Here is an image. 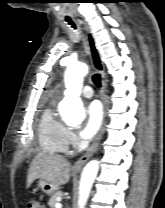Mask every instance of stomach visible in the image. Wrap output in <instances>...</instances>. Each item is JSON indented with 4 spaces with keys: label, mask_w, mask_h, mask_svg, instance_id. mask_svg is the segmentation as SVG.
<instances>
[{
    "label": "stomach",
    "mask_w": 165,
    "mask_h": 208,
    "mask_svg": "<svg viewBox=\"0 0 165 208\" xmlns=\"http://www.w3.org/2000/svg\"><path fill=\"white\" fill-rule=\"evenodd\" d=\"M38 186L41 189V191L47 195H52L54 194L57 190L58 187H56L55 185H53L52 183L45 181L43 179H41L38 182Z\"/></svg>",
    "instance_id": "stomach-1"
}]
</instances>
